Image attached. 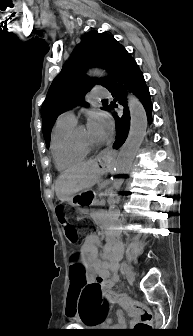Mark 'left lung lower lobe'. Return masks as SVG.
<instances>
[{
    "label": "left lung lower lobe",
    "instance_id": "0a47b994",
    "mask_svg": "<svg viewBox=\"0 0 193 336\" xmlns=\"http://www.w3.org/2000/svg\"><path fill=\"white\" fill-rule=\"evenodd\" d=\"M114 78L115 80H112L107 89L112 93V96L115 97L114 100L124 107L122 116L114 114L116 140L113 144V148L119 149L127 138L130 126V112L126 102V92L124 90H131V92L139 98L144 106L149 123L151 122L152 103L144 76L136 61L126 49L120 52ZM109 107V109H113L112 106ZM121 177H124V175H121Z\"/></svg>",
    "mask_w": 193,
    "mask_h": 336
}]
</instances>
